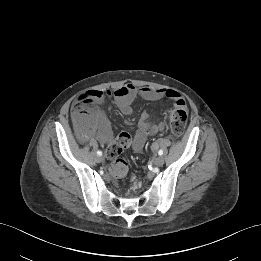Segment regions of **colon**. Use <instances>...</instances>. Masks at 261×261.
Segmentation results:
<instances>
[{
  "mask_svg": "<svg viewBox=\"0 0 261 261\" xmlns=\"http://www.w3.org/2000/svg\"><path fill=\"white\" fill-rule=\"evenodd\" d=\"M92 108L89 106L85 98L82 96L73 106V111L77 117L88 114ZM188 115L185 109L179 108L169 114V124L171 132L180 136L186 129ZM132 144V138L127 133L120 134L106 149V157L112 160L111 172L119 178H123L128 173V164L126 161L118 159V157L128 149Z\"/></svg>",
  "mask_w": 261,
  "mask_h": 261,
  "instance_id": "colon-1",
  "label": "colon"
}]
</instances>
